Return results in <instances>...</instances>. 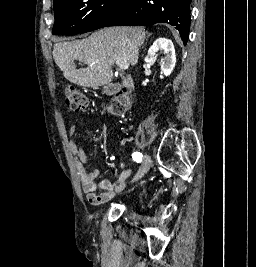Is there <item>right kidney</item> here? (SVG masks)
<instances>
[{"label": "right kidney", "mask_w": 256, "mask_h": 267, "mask_svg": "<svg viewBox=\"0 0 256 267\" xmlns=\"http://www.w3.org/2000/svg\"><path fill=\"white\" fill-rule=\"evenodd\" d=\"M159 50H164L165 54V58L160 62L161 70L164 76H170L176 64V56L172 40H168V38H158L153 46L149 48L145 62L154 60V56H156V52H159Z\"/></svg>", "instance_id": "ca27d5eb"}]
</instances>
